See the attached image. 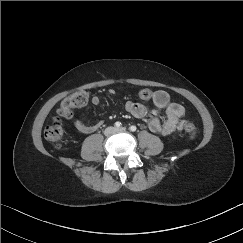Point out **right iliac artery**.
Instances as JSON below:
<instances>
[{"label":"right iliac artery","mask_w":243,"mask_h":243,"mask_svg":"<svg viewBox=\"0 0 243 243\" xmlns=\"http://www.w3.org/2000/svg\"><path fill=\"white\" fill-rule=\"evenodd\" d=\"M115 126H116L117 128H120V127H121V123H120L119 121H117V122L115 123Z\"/></svg>","instance_id":"right-iliac-artery-1"}]
</instances>
